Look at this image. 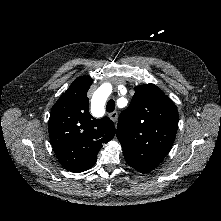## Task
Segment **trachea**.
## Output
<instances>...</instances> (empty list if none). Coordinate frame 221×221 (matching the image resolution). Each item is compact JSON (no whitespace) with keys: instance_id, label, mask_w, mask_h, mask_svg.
<instances>
[{"instance_id":"1","label":"trachea","mask_w":221,"mask_h":221,"mask_svg":"<svg viewBox=\"0 0 221 221\" xmlns=\"http://www.w3.org/2000/svg\"><path fill=\"white\" fill-rule=\"evenodd\" d=\"M115 109V101L113 99H110L108 102H107V105H106V111L107 112H113Z\"/></svg>"}]
</instances>
